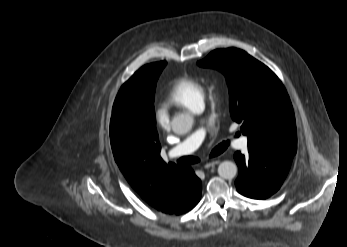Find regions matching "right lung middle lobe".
<instances>
[{"instance_id":"right-lung-middle-lobe-1","label":"right lung middle lobe","mask_w":347,"mask_h":247,"mask_svg":"<svg viewBox=\"0 0 347 247\" xmlns=\"http://www.w3.org/2000/svg\"><path fill=\"white\" fill-rule=\"evenodd\" d=\"M166 62H156L141 67L123 85L115 99L113 114L122 124L134 129L157 133L154 112L156 83Z\"/></svg>"}]
</instances>
